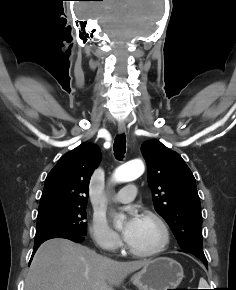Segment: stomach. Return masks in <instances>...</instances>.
I'll list each match as a JSON object with an SVG mask.
<instances>
[{
  "label": "stomach",
  "mask_w": 236,
  "mask_h": 290,
  "mask_svg": "<svg viewBox=\"0 0 236 290\" xmlns=\"http://www.w3.org/2000/svg\"><path fill=\"white\" fill-rule=\"evenodd\" d=\"M184 277L179 262L168 257H160L149 262L131 277L139 290L176 289Z\"/></svg>",
  "instance_id": "obj_1"
}]
</instances>
